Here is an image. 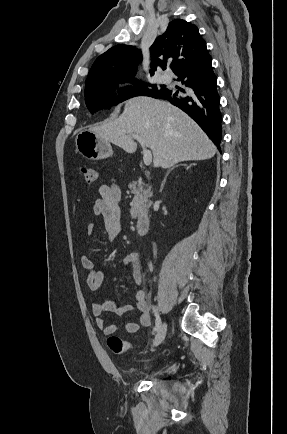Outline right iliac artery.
I'll use <instances>...</instances> for the list:
<instances>
[{
  "label": "right iliac artery",
  "mask_w": 287,
  "mask_h": 434,
  "mask_svg": "<svg viewBox=\"0 0 287 434\" xmlns=\"http://www.w3.org/2000/svg\"><path fill=\"white\" fill-rule=\"evenodd\" d=\"M152 309H153V312L155 313V317H156V321H155V331L158 332L159 329L161 328V325H162V323H161V318H160L159 314L157 313V310L155 309L154 306L152 307Z\"/></svg>",
  "instance_id": "82829eb1"
}]
</instances>
